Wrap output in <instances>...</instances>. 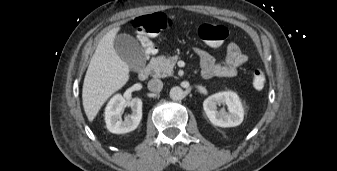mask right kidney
<instances>
[{"label": "right kidney", "instance_id": "ca27d5eb", "mask_svg": "<svg viewBox=\"0 0 337 171\" xmlns=\"http://www.w3.org/2000/svg\"><path fill=\"white\" fill-rule=\"evenodd\" d=\"M131 107L132 113L125 117L121 116L124 108ZM142 119V101L139 98H133L126 101L122 95L113 96L105 109V122L107 129L115 134H124L135 130Z\"/></svg>", "mask_w": 337, "mask_h": 171}]
</instances>
